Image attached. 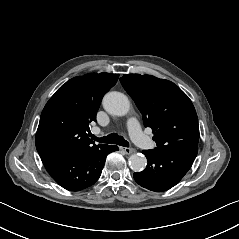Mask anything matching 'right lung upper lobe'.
I'll use <instances>...</instances> for the list:
<instances>
[{"label":"right lung upper lobe","mask_w":239,"mask_h":239,"mask_svg":"<svg viewBox=\"0 0 239 239\" xmlns=\"http://www.w3.org/2000/svg\"><path fill=\"white\" fill-rule=\"evenodd\" d=\"M119 74L89 73L70 79L45 105L35 143L40 156L96 145L89 136V123L104 94L115 85Z\"/></svg>","instance_id":"1"}]
</instances>
